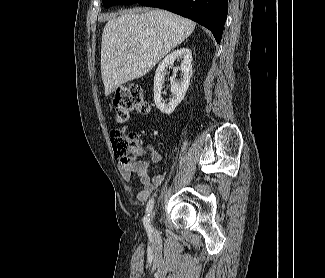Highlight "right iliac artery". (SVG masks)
Here are the masks:
<instances>
[{
	"instance_id": "1",
	"label": "right iliac artery",
	"mask_w": 325,
	"mask_h": 278,
	"mask_svg": "<svg viewBox=\"0 0 325 278\" xmlns=\"http://www.w3.org/2000/svg\"><path fill=\"white\" fill-rule=\"evenodd\" d=\"M154 206V199L151 198L147 204V207H146V215L144 217V220H143V223H144V226H145V229L146 231L149 233V234H152L153 233V229H152V226L150 224V219H149V216H150V212L152 210Z\"/></svg>"
}]
</instances>
